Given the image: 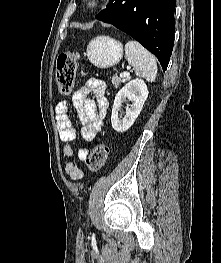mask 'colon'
I'll use <instances>...</instances> for the list:
<instances>
[{"label": "colon", "instance_id": "colon-1", "mask_svg": "<svg viewBox=\"0 0 221 263\" xmlns=\"http://www.w3.org/2000/svg\"><path fill=\"white\" fill-rule=\"evenodd\" d=\"M80 55L77 51H69L59 55L56 68V86L61 95H69L74 87L77 63ZM109 155V147L106 143L96 145L85 162L87 168L92 171L100 170Z\"/></svg>", "mask_w": 221, "mask_h": 263}]
</instances>
